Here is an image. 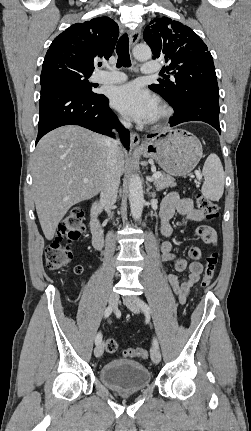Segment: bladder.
<instances>
[{
    "label": "bladder",
    "mask_w": 251,
    "mask_h": 431,
    "mask_svg": "<svg viewBox=\"0 0 251 431\" xmlns=\"http://www.w3.org/2000/svg\"><path fill=\"white\" fill-rule=\"evenodd\" d=\"M100 380L108 387L121 392L139 391L150 383L151 373L146 366L132 360H111L99 370Z\"/></svg>",
    "instance_id": "bladder-1"
}]
</instances>
